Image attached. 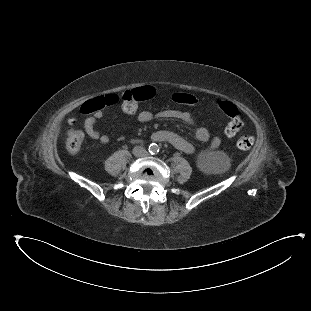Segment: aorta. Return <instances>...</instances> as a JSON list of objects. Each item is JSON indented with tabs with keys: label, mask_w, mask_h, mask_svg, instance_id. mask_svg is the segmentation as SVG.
I'll return each instance as SVG.
<instances>
[{
	"label": "aorta",
	"mask_w": 311,
	"mask_h": 311,
	"mask_svg": "<svg viewBox=\"0 0 311 311\" xmlns=\"http://www.w3.org/2000/svg\"><path fill=\"white\" fill-rule=\"evenodd\" d=\"M149 151L152 154H157L160 151V147L157 144H151L149 147Z\"/></svg>",
	"instance_id": "obj_1"
}]
</instances>
